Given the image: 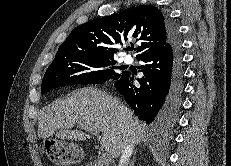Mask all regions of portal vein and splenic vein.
<instances>
[{
    "label": "portal vein and splenic vein",
    "instance_id": "1",
    "mask_svg": "<svg viewBox=\"0 0 231 166\" xmlns=\"http://www.w3.org/2000/svg\"><path fill=\"white\" fill-rule=\"evenodd\" d=\"M91 133L94 134V135H96V136H99V132H97V131H92ZM100 158H101V161L106 166H109V163L111 162V157L109 156V154L103 153Z\"/></svg>",
    "mask_w": 231,
    "mask_h": 166
}]
</instances>
